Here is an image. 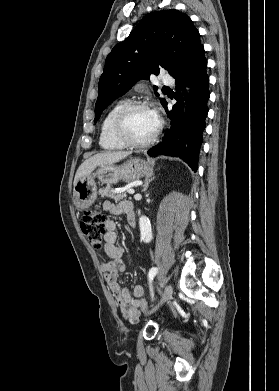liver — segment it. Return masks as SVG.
Wrapping results in <instances>:
<instances>
[{"label":"liver","mask_w":279,"mask_h":391,"mask_svg":"<svg viewBox=\"0 0 279 391\" xmlns=\"http://www.w3.org/2000/svg\"><path fill=\"white\" fill-rule=\"evenodd\" d=\"M129 153L127 152H101L98 154H95L94 156L86 159L78 168L75 178H74V186L80 180L81 178L86 177L90 173L93 172V170L102 165H110L114 164L116 162H119L123 159H125Z\"/></svg>","instance_id":"6515ba94"}]
</instances>
